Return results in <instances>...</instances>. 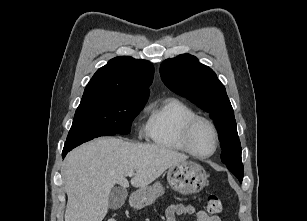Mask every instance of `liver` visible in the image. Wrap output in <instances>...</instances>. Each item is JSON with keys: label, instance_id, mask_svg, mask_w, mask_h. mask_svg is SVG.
<instances>
[{"label": "liver", "instance_id": "liver-1", "mask_svg": "<svg viewBox=\"0 0 307 221\" xmlns=\"http://www.w3.org/2000/svg\"><path fill=\"white\" fill-rule=\"evenodd\" d=\"M185 154L155 145L104 137L81 145L65 158L63 177L68 196L65 221H102L115 184L148 186L165 170L187 160Z\"/></svg>", "mask_w": 307, "mask_h": 221}]
</instances>
